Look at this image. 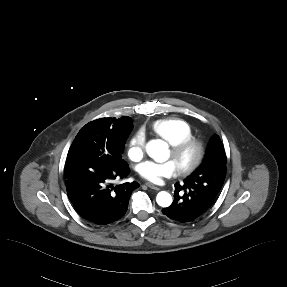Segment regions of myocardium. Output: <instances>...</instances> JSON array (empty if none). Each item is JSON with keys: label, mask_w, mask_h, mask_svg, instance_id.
<instances>
[{"label": "myocardium", "mask_w": 287, "mask_h": 287, "mask_svg": "<svg viewBox=\"0 0 287 287\" xmlns=\"http://www.w3.org/2000/svg\"><path fill=\"white\" fill-rule=\"evenodd\" d=\"M192 153L190 160L184 161V157ZM172 159L178 164V170L181 174L187 175L195 171L202 163L205 156L204 144L192 137L175 146H171Z\"/></svg>", "instance_id": "f54148a6"}]
</instances>
